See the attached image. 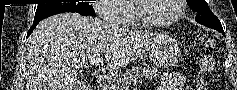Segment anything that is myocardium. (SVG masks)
I'll return each instance as SVG.
<instances>
[{"label":"myocardium","instance_id":"1","mask_svg":"<svg viewBox=\"0 0 237 90\" xmlns=\"http://www.w3.org/2000/svg\"><path fill=\"white\" fill-rule=\"evenodd\" d=\"M141 1H149V0L132 1V3L135 9V16L139 20L143 28H168L176 25L177 23L180 22L185 13L186 7L183 3L188 2V0H176L175 4L177 5V13L175 17L170 21L159 22V21L148 20L142 15L139 7V3H141Z\"/></svg>","mask_w":237,"mask_h":90}]
</instances>
